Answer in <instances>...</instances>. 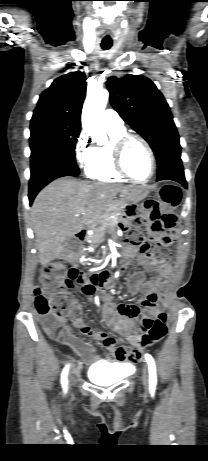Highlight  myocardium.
<instances>
[{
	"label": "myocardium",
	"mask_w": 208,
	"mask_h": 461,
	"mask_svg": "<svg viewBox=\"0 0 208 461\" xmlns=\"http://www.w3.org/2000/svg\"><path fill=\"white\" fill-rule=\"evenodd\" d=\"M131 141H138L140 142L147 150L150 161H151V171L149 176L144 179V180H139L135 177H133L126 169L125 164H124V155L127 146ZM112 152H113V162L116 170L125 178L139 184H145L148 183L153 176L156 173V168H157V163H156V158L154 151L149 144V142L143 138L142 136L138 134H131V133H125L123 136L118 138L112 145Z\"/></svg>",
	"instance_id": "myocardium-1"
}]
</instances>
